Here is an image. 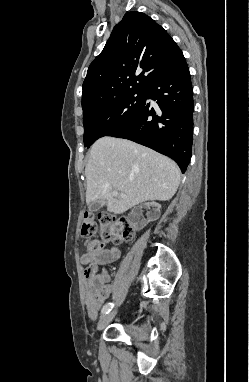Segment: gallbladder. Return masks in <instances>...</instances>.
Segmentation results:
<instances>
[{
  "instance_id": "bac80fb5",
  "label": "gallbladder",
  "mask_w": 249,
  "mask_h": 382,
  "mask_svg": "<svg viewBox=\"0 0 249 382\" xmlns=\"http://www.w3.org/2000/svg\"><path fill=\"white\" fill-rule=\"evenodd\" d=\"M106 205V201L104 200H96L94 202H91L89 204V210L91 212H95V211H98L99 209H101L102 207H104Z\"/></svg>"
}]
</instances>
